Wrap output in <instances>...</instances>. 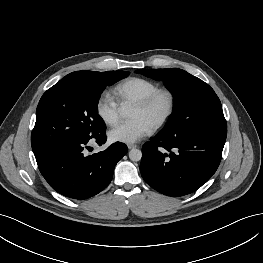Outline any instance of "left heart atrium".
Here are the masks:
<instances>
[{"instance_id": "39dd6f15", "label": "left heart atrium", "mask_w": 263, "mask_h": 263, "mask_svg": "<svg viewBox=\"0 0 263 263\" xmlns=\"http://www.w3.org/2000/svg\"><path fill=\"white\" fill-rule=\"evenodd\" d=\"M152 126L142 119H131L121 122L109 131V138L113 142L132 144L150 134Z\"/></svg>"}]
</instances>
